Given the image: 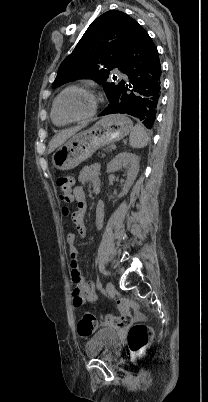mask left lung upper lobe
<instances>
[{
    "label": "left lung upper lobe",
    "mask_w": 208,
    "mask_h": 402,
    "mask_svg": "<svg viewBox=\"0 0 208 402\" xmlns=\"http://www.w3.org/2000/svg\"><path fill=\"white\" fill-rule=\"evenodd\" d=\"M134 23L133 18L116 10L96 18L62 62L52 87L90 78L103 85L110 101L118 85L108 82L109 74L114 68L122 71L123 54Z\"/></svg>",
    "instance_id": "1"
}]
</instances>
